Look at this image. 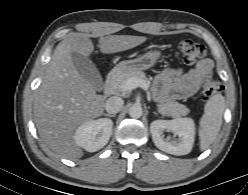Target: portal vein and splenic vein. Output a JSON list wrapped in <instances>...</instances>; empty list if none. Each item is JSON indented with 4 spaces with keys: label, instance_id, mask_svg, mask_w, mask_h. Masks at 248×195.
<instances>
[{
    "label": "portal vein and splenic vein",
    "instance_id": "obj_1",
    "mask_svg": "<svg viewBox=\"0 0 248 195\" xmlns=\"http://www.w3.org/2000/svg\"><path fill=\"white\" fill-rule=\"evenodd\" d=\"M137 87H141L142 89L147 90L148 84L146 83V81H143L137 78H131L123 84L121 89L124 91H130Z\"/></svg>",
    "mask_w": 248,
    "mask_h": 195
}]
</instances>
